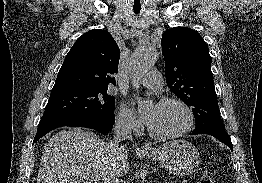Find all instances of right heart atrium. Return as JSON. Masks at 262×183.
<instances>
[{
  "label": "right heart atrium",
  "instance_id": "obj_1",
  "mask_svg": "<svg viewBox=\"0 0 262 183\" xmlns=\"http://www.w3.org/2000/svg\"><path fill=\"white\" fill-rule=\"evenodd\" d=\"M116 127L126 133H137L141 129L139 121L125 106H121L117 114Z\"/></svg>",
  "mask_w": 262,
  "mask_h": 183
}]
</instances>
